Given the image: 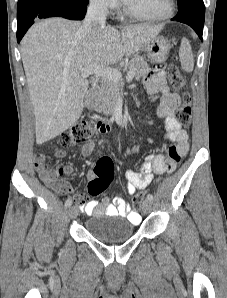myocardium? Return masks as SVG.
<instances>
[{
	"mask_svg": "<svg viewBox=\"0 0 227 298\" xmlns=\"http://www.w3.org/2000/svg\"><path fill=\"white\" fill-rule=\"evenodd\" d=\"M174 11H175V1L174 0H167V9L166 11L161 14V15H157V16H144V15H140V14H137L135 12H133L132 10H130L125 2H124V5H123V13L131 18V19H134V20H137V21H143V22H162V21H165L169 18H171L174 14Z\"/></svg>",
	"mask_w": 227,
	"mask_h": 298,
	"instance_id": "obj_1",
	"label": "myocardium"
}]
</instances>
